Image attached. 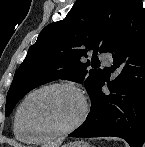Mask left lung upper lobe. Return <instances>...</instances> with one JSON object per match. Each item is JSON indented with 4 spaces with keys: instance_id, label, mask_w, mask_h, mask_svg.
<instances>
[{
    "instance_id": "left-lung-upper-lobe-1",
    "label": "left lung upper lobe",
    "mask_w": 145,
    "mask_h": 147,
    "mask_svg": "<svg viewBox=\"0 0 145 147\" xmlns=\"http://www.w3.org/2000/svg\"><path fill=\"white\" fill-rule=\"evenodd\" d=\"M131 0H77L65 19L46 26L15 73L7 93L5 116L32 89L56 79L82 82L92 97L103 77L101 69L87 71L98 49L108 52L123 24Z\"/></svg>"
}]
</instances>
